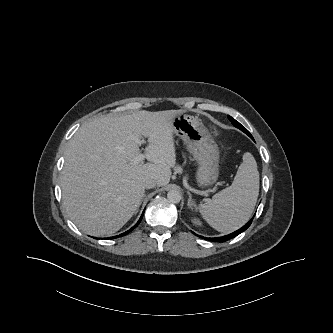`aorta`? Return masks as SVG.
Masks as SVG:
<instances>
[{"label":"aorta","instance_id":"aorta-1","mask_svg":"<svg viewBox=\"0 0 333 333\" xmlns=\"http://www.w3.org/2000/svg\"><path fill=\"white\" fill-rule=\"evenodd\" d=\"M167 198L172 203H179L181 200V194L178 190H170L167 193Z\"/></svg>","mask_w":333,"mask_h":333}]
</instances>
